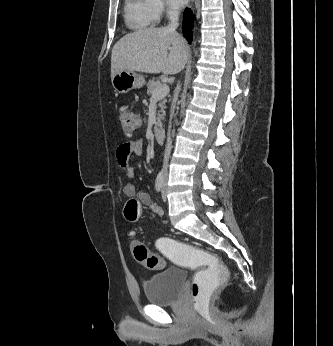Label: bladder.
I'll use <instances>...</instances> for the list:
<instances>
[{
	"label": "bladder",
	"mask_w": 333,
	"mask_h": 346,
	"mask_svg": "<svg viewBox=\"0 0 333 346\" xmlns=\"http://www.w3.org/2000/svg\"><path fill=\"white\" fill-rule=\"evenodd\" d=\"M186 281V272L181 268H167L152 275L144 282L147 301L152 305H166L177 300Z\"/></svg>",
	"instance_id": "obj_1"
}]
</instances>
